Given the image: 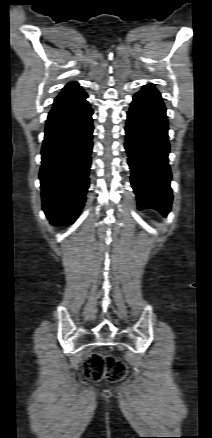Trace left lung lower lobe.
<instances>
[{"label":"left lung lower lobe","instance_id":"0a47b994","mask_svg":"<svg viewBox=\"0 0 212 438\" xmlns=\"http://www.w3.org/2000/svg\"><path fill=\"white\" fill-rule=\"evenodd\" d=\"M125 131V149L138 208H153L166 216L173 199L168 123L161 95L152 84L133 96Z\"/></svg>","mask_w":212,"mask_h":438}]
</instances>
